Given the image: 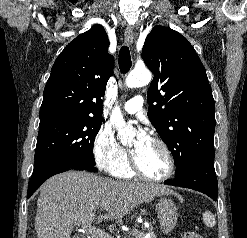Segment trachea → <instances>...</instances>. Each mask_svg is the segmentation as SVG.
<instances>
[{
  "label": "trachea",
  "instance_id": "trachea-1",
  "mask_svg": "<svg viewBox=\"0 0 247 238\" xmlns=\"http://www.w3.org/2000/svg\"><path fill=\"white\" fill-rule=\"evenodd\" d=\"M132 65L130 51L127 46H123L119 52V68L123 74L127 73Z\"/></svg>",
  "mask_w": 247,
  "mask_h": 238
}]
</instances>
